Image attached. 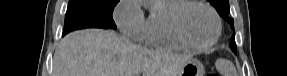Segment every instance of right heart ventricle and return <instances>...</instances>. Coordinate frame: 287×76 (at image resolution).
I'll return each instance as SVG.
<instances>
[{
	"label": "right heart ventricle",
	"instance_id": "e07e8e85",
	"mask_svg": "<svg viewBox=\"0 0 287 76\" xmlns=\"http://www.w3.org/2000/svg\"><path fill=\"white\" fill-rule=\"evenodd\" d=\"M183 0H162L146 19L142 42L159 50H181L185 48L174 36L170 27L171 12Z\"/></svg>",
	"mask_w": 287,
	"mask_h": 76
}]
</instances>
